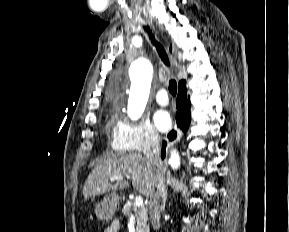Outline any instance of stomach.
I'll list each match as a JSON object with an SVG mask.
<instances>
[{"label": "stomach", "instance_id": "stomach-1", "mask_svg": "<svg viewBox=\"0 0 289 232\" xmlns=\"http://www.w3.org/2000/svg\"><path fill=\"white\" fill-rule=\"evenodd\" d=\"M119 205V198L115 194L108 195L95 207V214L101 220H110Z\"/></svg>", "mask_w": 289, "mask_h": 232}]
</instances>
